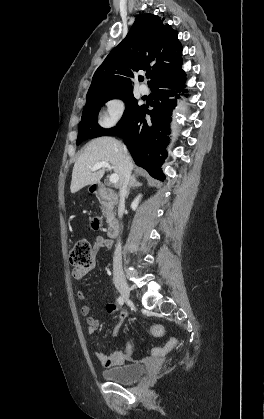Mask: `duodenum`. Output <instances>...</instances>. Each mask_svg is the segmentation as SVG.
<instances>
[{
	"label": "duodenum",
	"mask_w": 264,
	"mask_h": 419,
	"mask_svg": "<svg viewBox=\"0 0 264 419\" xmlns=\"http://www.w3.org/2000/svg\"><path fill=\"white\" fill-rule=\"evenodd\" d=\"M94 194L98 200L108 203H114L118 197L114 192L108 191L104 185L97 184L94 186ZM119 233V220L115 216H111L109 219V225L107 229V235L110 238H114Z\"/></svg>",
	"instance_id": "1"
}]
</instances>
